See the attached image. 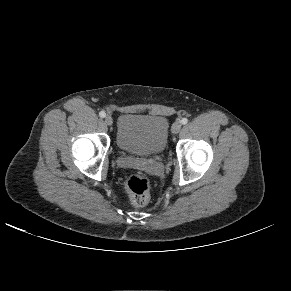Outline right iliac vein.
Listing matches in <instances>:
<instances>
[{
  "instance_id": "1",
  "label": "right iliac vein",
  "mask_w": 291,
  "mask_h": 291,
  "mask_svg": "<svg viewBox=\"0 0 291 291\" xmlns=\"http://www.w3.org/2000/svg\"><path fill=\"white\" fill-rule=\"evenodd\" d=\"M105 123H106L107 125H112V124H113V119H112V117H111V116H106V117H105Z\"/></svg>"
}]
</instances>
